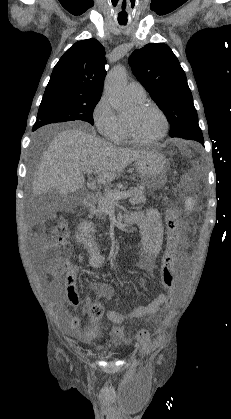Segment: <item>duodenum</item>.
<instances>
[{"mask_svg": "<svg viewBox=\"0 0 231 419\" xmlns=\"http://www.w3.org/2000/svg\"><path fill=\"white\" fill-rule=\"evenodd\" d=\"M95 203V195L92 193H86L85 198H84V204L86 207L90 208L94 205ZM123 222L125 225H131L134 223V220L132 218L131 215H125L123 217Z\"/></svg>", "mask_w": 231, "mask_h": 419, "instance_id": "1", "label": "duodenum"}]
</instances>
